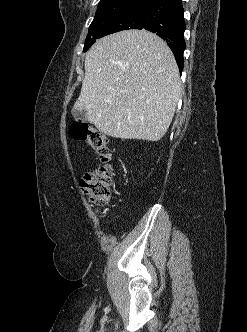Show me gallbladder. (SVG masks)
Listing matches in <instances>:
<instances>
[{"instance_id":"obj_1","label":"gallbladder","mask_w":247,"mask_h":332,"mask_svg":"<svg viewBox=\"0 0 247 332\" xmlns=\"http://www.w3.org/2000/svg\"><path fill=\"white\" fill-rule=\"evenodd\" d=\"M72 115L74 118L85 117L86 111H85V109L79 110V109L74 108L72 110Z\"/></svg>"}]
</instances>
